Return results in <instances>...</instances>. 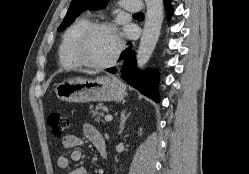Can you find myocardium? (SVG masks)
Here are the masks:
<instances>
[{
    "label": "myocardium",
    "mask_w": 249,
    "mask_h": 174,
    "mask_svg": "<svg viewBox=\"0 0 249 174\" xmlns=\"http://www.w3.org/2000/svg\"><path fill=\"white\" fill-rule=\"evenodd\" d=\"M97 30L111 31L117 37L116 51H115L114 55L111 57V59H109L108 61H106L104 63H92V62L88 61L85 58L84 52H83L84 46H85V43H86L88 37L93 32H95ZM122 48H123V44H122V40H121V37L119 35V32H118L117 28L111 23L96 22V23H90L82 31V33L79 35V37L77 38V40L75 42L74 55H75L76 59L78 60V62L80 63L81 66H84V67L89 68V69L102 70V69L110 68V67H112L113 65L116 64V62L118 61V59L120 57V54L122 52Z\"/></svg>",
    "instance_id": "1"
}]
</instances>
